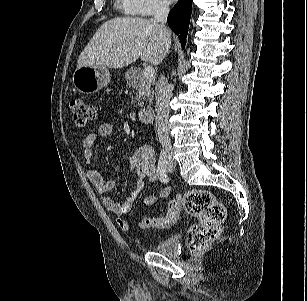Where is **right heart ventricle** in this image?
<instances>
[{"mask_svg":"<svg viewBox=\"0 0 307 301\" xmlns=\"http://www.w3.org/2000/svg\"><path fill=\"white\" fill-rule=\"evenodd\" d=\"M121 5L126 8V0H120Z\"/></svg>","mask_w":307,"mask_h":301,"instance_id":"right-heart-ventricle-1","label":"right heart ventricle"}]
</instances>
